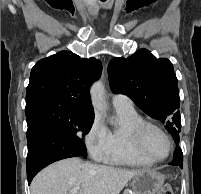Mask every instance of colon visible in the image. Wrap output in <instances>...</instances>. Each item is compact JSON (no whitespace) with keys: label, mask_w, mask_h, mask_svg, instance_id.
I'll return each instance as SVG.
<instances>
[{"label":"colon","mask_w":201,"mask_h":194,"mask_svg":"<svg viewBox=\"0 0 201 194\" xmlns=\"http://www.w3.org/2000/svg\"><path fill=\"white\" fill-rule=\"evenodd\" d=\"M158 194H173V191L169 185H164L158 192Z\"/></svg>","instance_id":"1"}]
</instances>
